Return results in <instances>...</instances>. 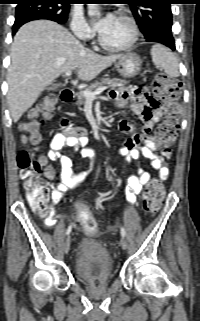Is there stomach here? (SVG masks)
<instances>
[{
	"instance_id": "obj_1",
	"label": "stomach",
	"mask_w": 200,
	"mask_h": 321,
	"mask_svg": "<svg viewBox=\"0 0 200 321\" xmlns=\"http://www.w3.org/2000/svg\"><path fill=\"white\" fill-rule=\"evenodd\" d=\"M142 60L139 55L128 52L122 55L115 64L117 71L125 78H132L138 75L141 70Z\"/></svg>"
}]
</instances>
